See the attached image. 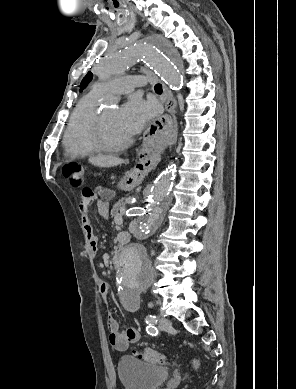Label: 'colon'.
<instances>
[{
	"label": "colon",
	"instance_id": "colon-1",
	"mask_svg": "<svg viewBox=\"0 0 296 389\" xmlns=\"http://www.w3.org/2000/svg\"><path fill=\"white\" fill-rule=\"evenodd\" d=\"M63 175L72 187L78 188L82 185L85 175V167L79 163L67 164L63 167ZM135 354L140 360L145 362L158 364L166 362V356L152 348H145L141 351H136ZM191 362L194 371H198L200 368L199 361L197 359H192Z\"/></svg>",
	"mask_w": 296,
	"mask_h": 389
}]
</instances>
